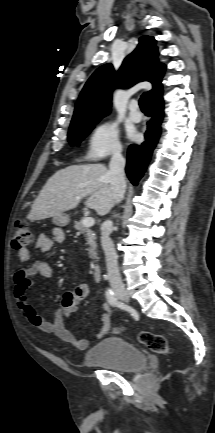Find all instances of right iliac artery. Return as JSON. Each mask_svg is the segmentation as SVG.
<instances>
[{
  "instance_id": "1",
  "label": "right iliac artery",
  "mask_w": 215,
  "mask_h": 433,
  "mask_svg": "<svg viewBox=\"0 0 215 433\" xmlns=\"http://www.w3.org/2000/svg\"><path fill=\"white\" fill-rule=\"evenodd\" d=\"M106 298L109 304L112 306H119L121 303L117 301L114 292L111 289L106 290Z\"/></svg>"
}]
</instances>
